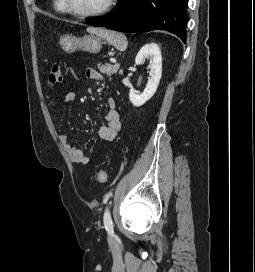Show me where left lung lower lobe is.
<instances>
[{
  "mask_svg": "<svg viewBox=\"0 0 255 272\" xmlns=\"http://www.w3.org/2000/svg\"><path fill=\"white\" fill-rule=\"evenodd\" d=\"M187 3L188 0H118L110 14L86 23L125 33L165 29L185 42Z\"/></svg>",
  "mask_w": 255,
  "mask_h": 272,
  "instance_id": "1",
  "label": "left lung lower lobe"
}]
</instances>
